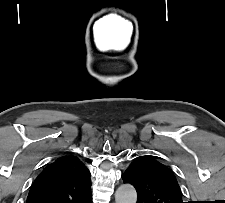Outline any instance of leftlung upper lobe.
<instances>
[{"label":"left lung upper lobe","mask_w":225,"mask_h":203,"mask_svg":"<svg viewBox=\"0 0 225 203\" xmlns=\"http://www.w3.org/2000/svg\"><path fill=\"white\" fill-rule=\"evenodd\" d=\"M122 179L136 188L137 203H183L173 171L149 155L136 157Z\"/></svg>","instance_id":"left-lung-upper-lobe-1"}]
</instances>
